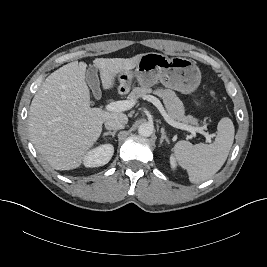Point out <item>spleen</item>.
Here are the masks:
<instances>
[{
  "label": "spleen",
  "mask_w": 267,
  "mask_h": 267,
  "mask_svg": "<svg viewBox=\"0 0 267 267\" xmlns=\"http://www.w3.org/2000/svg\"><path fill=\"white\" fill-rule=\"evenodd\" d=\"M235 129L230 118H222L212 144H196L181 140L174 146L179 165L188 172L191 183H201L217 173L225 163L234 141Z\"/></svg>",
  "instance_id": "obj_1"
}]
</instances>
